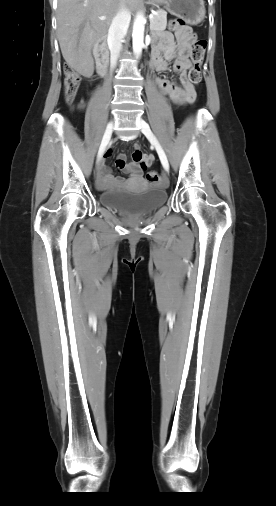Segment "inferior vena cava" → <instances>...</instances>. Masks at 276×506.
Listing matches in <instances>:
<instances>
[{"instance_id":"602c4592","label":"inferior vena cava","mask_w":276,"mask_h":506,"mask_svg":"<svg viewBox=\"0 0 276 506\" xmlns=\"http://www.w3.org/2000/svg\"><path fill=\"white\" fill-rule=\"evenodd\" d=\"M131 20V15L129 10L122 5L112 20V23L108 30V45L110 49V65L111 69H114L118 57L120 55L122 49V41L125 37L129 24Z\"/></svg>"}]
</instances>
